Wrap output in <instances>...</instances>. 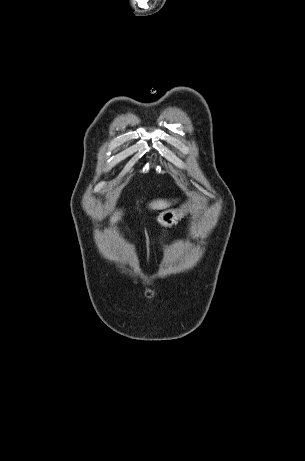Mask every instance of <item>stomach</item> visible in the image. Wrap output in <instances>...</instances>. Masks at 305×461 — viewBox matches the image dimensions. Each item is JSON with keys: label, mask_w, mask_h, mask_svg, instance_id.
Segmentation results:
<instances>
[{"label": "stomach", "mask_w": 305, "mask_h": 461, "mask_svg": "<svg viewBox=\"0 0 305 461\" xmlns=\"http://www.w3.org/2000/svg\"><path fill=\"white\" fill-rule=\"evenodd\" d=\"M189 210V204H184L178 209L163 211L157 216V222L162 226L171 227Z\"/></svg>", "instance_id": "obj_1"}]
</instances>
